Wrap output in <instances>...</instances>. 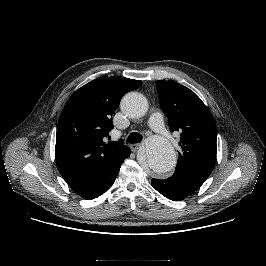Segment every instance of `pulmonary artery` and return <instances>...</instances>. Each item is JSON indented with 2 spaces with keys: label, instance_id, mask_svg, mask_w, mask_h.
Returning <instances> with one entry per match:
<instances>
[{
  "label": "pulmonary artery",
  "instance_id": "e3ab8cb5",
  "mask_svg": "<svg viewBox=\"0 0 266 266\" xmlns=\"http://www.w3.org/2000/svg\"><path fill=\"white\" fill-rule=\"evenodd\" d=\"M150 128L163 137H168V132L164 128L162 115L160 113H154L149 118Z\"/></svg>",
  "mask_w": 266,
  "mask_h": 266
}]
</instances>
